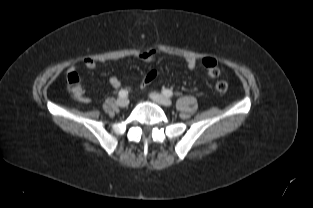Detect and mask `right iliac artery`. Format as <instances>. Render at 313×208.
I'll return each mask as SVG.
<instances>
[{
  "label": "right iliac artery",
  "instance_id": "obj_1",
  "mask_svg": "<svg viewBox=\"0 0 313 208\" xmlns=\"http://www.w3.org/2000/svg\"><path fill=\"white\" fill-rule=\"evenodd\" d=\"M127 94H128V92L126 91V90H124V89H121L120 91H119V97H126L127 96Z\"/></svg>",
  "mask_w": 313,
  "mask_h": 208
}]
</instances>
